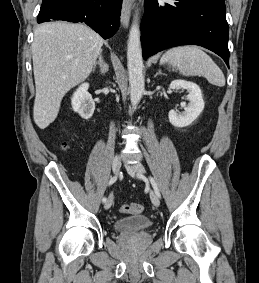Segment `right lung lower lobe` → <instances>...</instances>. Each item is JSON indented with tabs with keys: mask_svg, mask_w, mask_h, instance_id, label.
I'll return each mask as SVG.
<instances>
[{
	"mask_svg": "<svg viewBox=\"0 0 259 283\" xmlns=\"http://www.w3.org/2000/svg\"><path fill=\"white\" fill-rule=\"evenodd\" d=\"M122 0H43L37 22H85L104 39L119 28Z\"/></svg>",
	"mask_w": 259,
	"mask_h": 283,
	"instance_id": "98d812e1",
	"label": "right lung lower lobe"
}]
</instances>
